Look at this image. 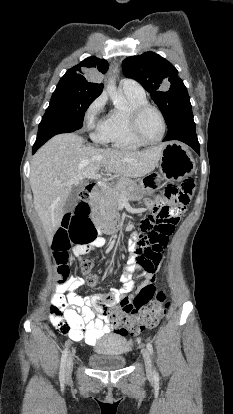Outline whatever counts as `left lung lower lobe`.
I'll return each instance as SVG.
<instances>
[{"label": "left lung lower lobe", "instance_id": "1", "mask_svg": "<svg viewBox=\"0 0 233 414\" xmlns=\"http://www.w3.org/2000/svg\"><path fill=\"white\" fill-rule=\"evenodd\" d=\"M167 127L168 132L164 141L178 140L200 153L191 106L181 110Z\"/></svg>", "mask_w": 233, "mask_h": 414}]
</instances>
